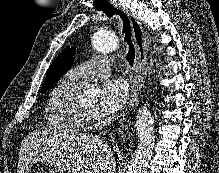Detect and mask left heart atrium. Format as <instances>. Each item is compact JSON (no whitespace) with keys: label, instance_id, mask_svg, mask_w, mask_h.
I'll list each match as a JSON object with an SVG mask.
<instances>
[{"label":"left heart atrium","instance_id":"obj_1","mask_svg":"<svg viewBox=\"0 0 219 173\" xmlns=\"http://www.w3.org/2000/svg\"><path fill=\"white\" fill-rule=\"evenodd\" d=\"M129 96L128 84L122 80L106 81L101 90L96 113L100 117L110 116L119 111Z\"/></svg>","mask_w":219,"mask_h":173}]
</instances>
